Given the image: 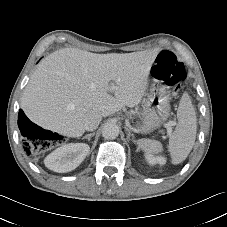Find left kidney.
Returning <instances> with one entry per match:
<instances>
[{"label":"left kidney","instance_id":"1","mask_svg":"<svg viewBox=\"0 0 227 227\" xmlns=\"http://www.w3.org/2000/svg\"><path fill=\"white\" fill-rule=\"evenodd\" d=\"M145 158L150 165L155 164L164 165L166 163V159L162 156L155 157L151 154H146Z\"/></svg>","mask_w":227,"mask_h":227}]
</instances>
